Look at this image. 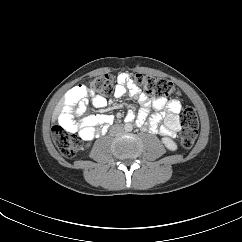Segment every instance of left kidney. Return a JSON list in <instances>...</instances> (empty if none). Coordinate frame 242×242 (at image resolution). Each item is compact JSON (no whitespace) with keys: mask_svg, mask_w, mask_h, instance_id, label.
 I'll return each instance as SVG.
<instances>
[{"mask_svg":"<svg viewBox=\"0 0 242 242\" xmlns=\"http://www.w3.org/2000/svg\"><path fill=\"white\" fill-rule=\"evenodd\" d=\"M162 142L164 143L167 149L171 151L177 150V144L171 138L165 137L162 139Z\"/></svg>","mask_w":242,"mask_h":242,"instance_id":"obj_1","label":"left kidney"}]
</instances>
